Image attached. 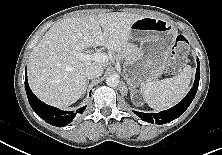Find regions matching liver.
I'll use <instances>...</instances> for the list:
<instances>
[{"mask_svg": "<svg viewBox=\"0 0 222 155\" xmlns=\"http://www.w3.org/2000/svg\"><path fill=\"white\" fill-rule=\"evenodd\" d=\"M144 16L111 12L68 18L52 26L31 52L28 82L42 101L60 108L76 102L84 93L86 68L90 60L78 55L87 47L103 46L111 53L128 51L132 46V24ZM96 64L105 67L107 62Z\"/></svg>", "mask_w": 222, "mask_h": 155, "instance_id": "obj_1", "label": "liver"}]
</instances>
